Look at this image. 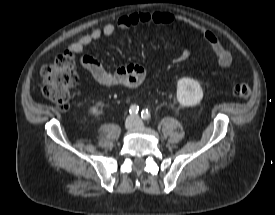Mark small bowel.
I'll return each instance as SVG.
<instances>
[{
  "label": "small bowel",
  "mask_w": 275,
  "mask_h": 215,
  "mask_svg": "<svg viewBox=\"0 0 275 215\" xmlns=\"http://www.w3.org/2000/svg\"><path fill=\"white\" fill-rule=\"evenodd\" d=\"M177 24H185L190 32L203 37L209 46L212 56L221 68L228 69L232 65L231 54L221 45L212 31L170 11L139 12L122 16L116 23H107L83 35L69 46V51L74 54H81L92 42L102 36L112 35L117 29L125 30L138 25ZM187 56L188 54L184 52L178 60L183 61ZM79 63L99 84L108 87H137L144 82L147 75L145 67L140 64H129L121 66L115 71H109L96 58L90 55L82 56Z\"/></svg>",
  "instance_id": "small-bowel-1"
}]
</instances>
